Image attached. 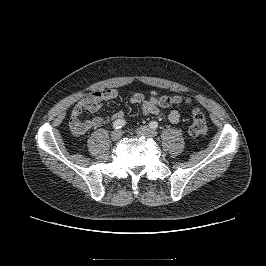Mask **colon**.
I'll use <instances>...</instances> for the list:
<instances>
[{
  "label": "colon",
  "instance_id": "1",
  "mask_svg": "<svg viewBox=\"0 0 266 266\" xmlns=\"http://www.w3.org/2000/svg\"><path fill=\"white\" fill-rule=\"evenodd\" d=\"M189 103V100H183L181 97L163 96L161 98L162 106H170L172 104H180L182 102ZM207 132V122L204 114L199 108H194L192 112V120L189 127V134L194 140L203 137Z\"/></svg>",
  "mask_w": 266,
  "mask_h": 266
}]
</instances>
